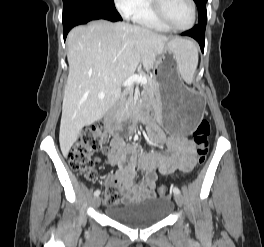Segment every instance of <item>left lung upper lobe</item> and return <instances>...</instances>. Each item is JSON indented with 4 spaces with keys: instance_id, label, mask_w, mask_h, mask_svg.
<instances>
[{
    "instance_id": "1",
    "label": "left lung upper lobe",
    "mask_w": 264,
    "mask_h": 247,
    "mask_svg": "<svg viewBox=\"0 0 264 247\" xmlns=\"http://www.w3.org/2000/svg\"><path fill=\"white\" fill-rule=\"evenodd\" d=\"M198 8V23L206 24L207 11L206 2L207 0H194Z\"/></svg>"
}]
</instances>
